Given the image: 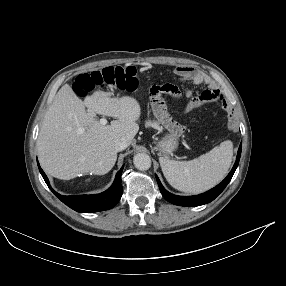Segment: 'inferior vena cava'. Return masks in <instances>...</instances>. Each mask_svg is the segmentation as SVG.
<instances>
[{
	"label": "inferior vena cava",
	"mask_w": 286,
	"mask_h": 286,
	"mask_svg": "<svg viewBox=\"0 0 286 286\" xmlns=\"http://www.w3.org/2000/svg\"><path fill=\"white\" fill-rule=\"evenodd\" d=\"M129 146L128 142L126 139H119L116 141L115 143V149L117 152L124 150L125 148H127Z\"/></svg>",
	"instance_id": "obj_1"
}]
</instances>
